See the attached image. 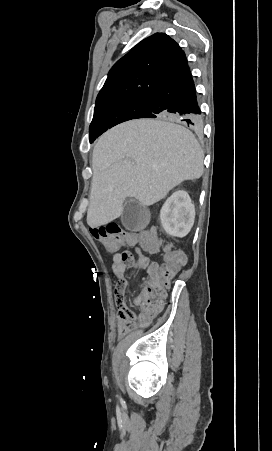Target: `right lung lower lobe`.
<instances>
[{
	"label": "right lung lower lobe",
	"mask_w": 272,
	"mask_h": 451,
	"mask_svg": "<svg viewBox=\"0 0 272 451\" xmlns=\"http://www.w3.org/2000/svg\"><path fill=\"white\" fill-rule=\"evenodd\" d=\"M195 84L188 64L157 88L138 118L172 119L191 127L201 124Z\"/></svg>",
	"instance_id": "obj_1"
}]
</instances>
